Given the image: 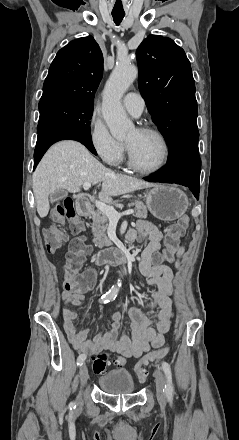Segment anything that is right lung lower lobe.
<instances>
[{"mask_svg": "<svg viewBox=\"0 0 239 440\" xmlns=\"http://www.w3.org/2000/svg\"><path fill=\"white\" fill-rule=\"evenodd\" d=\"M65 139L79 141L84 144L93 154H97L94 149L90 133L71 127H51L38 133L37 143L34 151V169L44 153L52 144Z\"/></svg>", "mask_w": 239, "mask_h": 440, "instance_id": "98d812e1", "label": "right lung lower lobe"}]
</instances>
